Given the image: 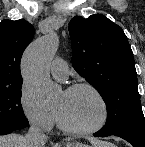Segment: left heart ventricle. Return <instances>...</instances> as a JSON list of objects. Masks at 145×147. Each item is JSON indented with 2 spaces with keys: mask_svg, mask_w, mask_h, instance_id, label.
I'll return each instance as SVG.
<instances>
[{
  "mask_svg": "<svg viewBox=\"0 0 145 147\" xmlns=\"http://www.w3.org/2000/svg\"><path fill=\"white\" fill-rule=\"evenodd\" d=\"M54 108L75 128H89L98 123L102 115L99 101L87 89L62 92L55 101Z\"/></svg>",
  "mask_w": 145,
  "mask_h": 147,
  "instance_id": "obj_1",
  "label": "left heart ventricle"
}]
</instances>
